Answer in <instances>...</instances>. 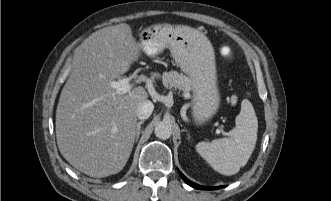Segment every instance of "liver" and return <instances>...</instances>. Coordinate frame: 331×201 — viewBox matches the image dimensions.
I'll return each instance as SVG.
<instances>
[{
  "mask_svg": "<svg viewBox=\"0 0 331 201\" xmlns=\"http://www.w3.org/2000/svg\"><path fill=\"white\" fill-rule=\"evenodd\" d=\"M141 43L130 25L100 30L78 53L56 109V139L62 156L91 177L120 172L131 154L137 109L147 100L142 86L118 94L110 83L139 59ZM152 73L151 78H158Z\"/></svg>",
  "mask_w": 331,
  "mask_h": 201,
  "instance_id": "obj_1",
  "label": "liver"
}]
</instances>
